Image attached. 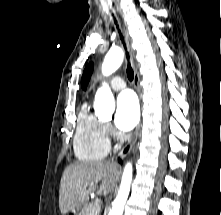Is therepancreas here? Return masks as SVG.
Wrapping results in <instances>:
<instances>
[{"instance_id":"pancreas-1","label":"pancreas","mask_w":221,"mask_h":215,"mask_svg":"<svg viewBox=\"0 0 221 215\" xmlns=\"http://www.w3.org/2000/svg\"><path fill=\"white\" fill-rule=\"evenodd\" d=\"M97 208L98 206L93 203L86 205L82 211V215H98Z\"/></svg>"}]
</instances>
